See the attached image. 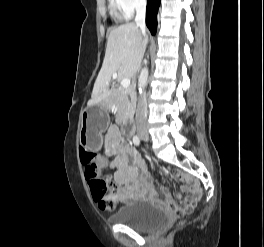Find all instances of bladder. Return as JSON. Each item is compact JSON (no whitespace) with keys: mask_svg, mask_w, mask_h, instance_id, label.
<instances>
[{"mask_svg":"<svg viewBox=\"0 0 264 247\" xmlns=\"http://www.w3.org/2000/svg\"><path fill=\"white\" fill-rule=\"evenodd\" d=\"M111 218L135 230L150 232L166 223L167 212L147 201L133 200L120 207Z\"/></svg>","mask_w":264,"mask_h":247,"instance_id":"31cf9c89","label":"bladder"}]
</instances>
